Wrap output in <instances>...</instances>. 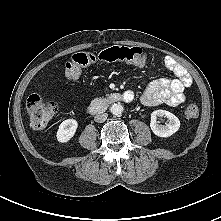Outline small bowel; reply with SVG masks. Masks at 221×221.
Wrapping results in <instances>:
<instances>
[{
	"label": "small bowel",
	"instance_id": "obj_1",
	"mask_svg": "<svg viewBox=\"0 0 221 221\" xmlns=\"http://www.w3.org/2000/svg\"><path fill=\"white\" fill-rule=\"evenodd\" d=\"M165 67L175 76L174 79L161 78L143 91L140 97L142 104L155 106L168 104L176 106L185 101L184 90L192 84V78L186 69L171 57L164 58Z\"/></svg>",
	"mask_w": 221,
	"mask_h": 221
}]
</instances>
